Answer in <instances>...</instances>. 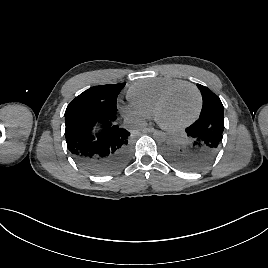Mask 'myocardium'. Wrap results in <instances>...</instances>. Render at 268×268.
I'll return each mask as SVG.
<instances>
[{"instance_id":"obj_1","label":"myocardium","mask_w":268,"mask_h":268,"mask_svg":"<svg viewBox=\"0 0 268 268\" xmlns=\"http://www.w3.org/2000/svg\"><path fill=\"white\" fill-rule=\"evenodd\" d=\"M183 87H189L191 89L194 90V92L196 93L197 95V100H198V104H197V109L194 113V115L188 119L187 121L179 124V125H176V126H170V125H167L165 123H163L161 120H160V117H159V113H160V110L161 108L163 107V105L166 103V101L179 89L183 88ZM202 106H203V98H202V94L200 92V90L198 89L197 86H195L194 84L192 83H189V82H181L179 84H176L174 86H172L171 88H169L161 97L160 99L158 100L156 106H155V109H154V118H155V121L158 123V125L160 127H162L163 129L167 130V131H172V132H175V131H180L188 126H190L192 123H194L197 118L199 117L200 113H201V110H202Z\"/></svg>"}]
</instances>
